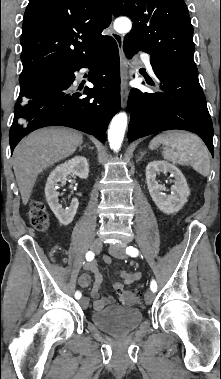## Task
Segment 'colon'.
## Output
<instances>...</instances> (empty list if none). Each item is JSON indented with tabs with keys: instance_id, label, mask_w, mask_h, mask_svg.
<instances>
[{
	"instance_id": "5ec220e1",
	"label": "colon",
	"mask_w": 221,
	"mask_h": 379,
	"mask_svg": "<svg viewBox=\"0 0 221 379\" xmlns=\"http://www.w3.org/2000/svg\"><path fill=\"white\" fill-rule=\"evenodd\" d=\"M30 224L38 231H45L49 226V217L42 202L36 201L32 204L29 212ZM120 300L126 305H135L141 303L140 295L131 291L120 293Z\"/></svg>"
}]
</instances>
